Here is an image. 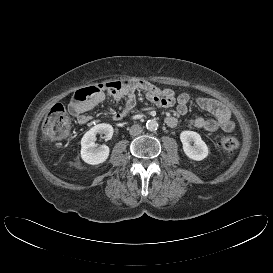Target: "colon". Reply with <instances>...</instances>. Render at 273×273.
I'll return each mask as SVG.
<instances>
[{
  "mask_svg": "<svg viewBox=\"0 0 273 273\" xmlns=\"http://www.w3.org/2000/svg\"><path fill=\"white\" fill-rule=\"evenodd\" d=\"M124 82H111L100 86H89L77 90L72 98V102H83L89 99L99 88L118 89L127 85ZM72 127V120L65 107L55 104L51 107L42 123V132L45 140L59 141L68 137ZM219 146L228 152L234 151L239 147V141L235 137L222 136L218 142Z\"/></svg>",
  "mask_w": 273,
  "mask_h": 273,
  "instance_id": "colon-1",
  "label": "colon"
}]
</instances>
